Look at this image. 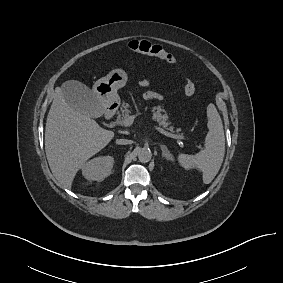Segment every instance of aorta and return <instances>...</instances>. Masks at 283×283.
<instances>
[{
  "instance_id": "1",
  "label": "aorta",
  "mask_w": 283,
  "mask_h": 283,
  "mask_svg": "<svg viewBox=\"0 0 283 283\" xmlns=\"http://www.w3.org/2000/svg\"><path fill=\"white\" fill-rule=\"evenodd\" d=\"M152 157V153L149 149L147 148H142L139 152H138V159L140 162L142 163H146L149 162L151 160Z\"/></svg>"
}]
</instances>
